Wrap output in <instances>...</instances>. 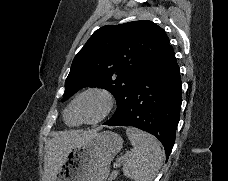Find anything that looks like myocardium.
<instances>
[{
	"label": "myocardium",
	"mask_w": 228,
	"mask_h": 181,
	"mask_svg": "<svg viewBox=\"0 0 228 181\" xmlns=\"http://www.w3.org/2000/svg\"><path fill=\"white\" fill-rule=\"evenodd\" d=\"M87 95H96L101 99V102H102L99 113L97 114L96 117H94L93 119H90V120L82 119L80 117L79 108H78L79 100L82 97L87 96ZM113 104H114V99H113V96L109 92H107L105 90H101V89H89V90H86L83 93H81L79 96H77V98L75 99V101L73 103V108H74L75 114L82 122L87 123V124H94V123L101 121L103 118H105L108 115V113L111 111V109L113 107Z\"/></svg>",
	"instance_id": "f54148a6"
}]
</instances>
